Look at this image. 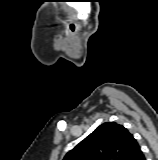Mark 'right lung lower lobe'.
Returning <instances> with one entry per match:
<instances>
[{
    "label": "right lung lower lobe",
    "instance_id": "obj_1",
    "mask_svg": "<svg viewBox=\"0 0 158 160\" xmlns=\"http://www.w3.org/2000/svg\"><path fill=\"white\" fill-rule=\"evenodd\" d=\"M135 160H146V159H145L144 154L141 153L140 155H138V156L135 158Z\"/></svg>",
    "mask_w": 158,
    "mask_h": 160
}]
</instances>
